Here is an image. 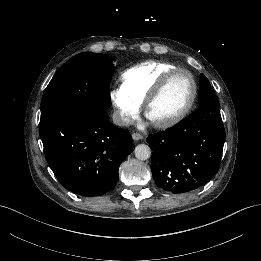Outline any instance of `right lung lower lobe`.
<instances>
[{
    "label": "right lung lower lobe",
    "mask_w": 261,
    "mask_h": 261,
    "mask_svg": "<svg viewBox=\"0 0 261 261\" xmlns=\"http://www.w3.org/2000/svg\"><path fill=\"white\" fill-rule=\"evenodd\" d=\"M39 133L47 163L60 184L83 197L113 189L121 162L133 150L129 131L113 126L100 108L45 116Z\"/></svg>",
    "instance_id": "right-lung-lower-lobe-1"
}]
</instances>
